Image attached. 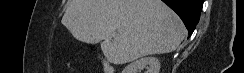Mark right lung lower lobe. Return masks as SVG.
Segmentation results:
<instances>
[{"label":"right lung lower lobe","mask_w":244,"mask_h":73,"mask_svg":"<svg viewBox=\"0 0 244 73\" xmlns=\"http://www.w3.org/2000/svg\"><path fill=\"white\" fill-rule=\"evenodd\" d=\"M173 9L184 22L189 36L199 22L203 0H162Z\"/></svg>","instance_id":"right-lung-lower-lobe-1"}]
</instances>
